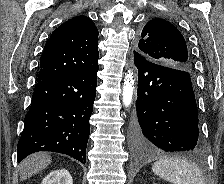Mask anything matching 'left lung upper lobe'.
Instances as JSON below:
<instances>
[{
  "mask_svg": "<svg viewBox=\"0 0 224 184\" xmlns=\"http://www.w3.org/2000/svg\"><path fill=\"white\" fill-rule=\"evenodd\" d=\"M149 62L190 72L192 62L180 31L162 19H152L143 28L138 51Z\"/></svg>",
  "mask_w": 224,
  "mask_h": 184,
  "instance_id": "obj_1",
  "label": "left lung upper lobe"
}]
</instances>
